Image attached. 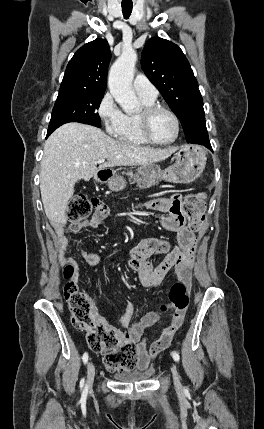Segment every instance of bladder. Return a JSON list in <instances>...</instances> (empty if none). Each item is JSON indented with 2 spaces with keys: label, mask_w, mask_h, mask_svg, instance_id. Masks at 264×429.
Instances as JSON below:
<instances>
[{
  "label": "bladder",
  "mask_w": 264,
  "mask_h": 429,
  "mask_svg": "<svg viewBox=\"0 0 264 429\" xmlns=\"http://www.w3.org/2000/svg\"><path fill=\"white\" fill-rule=\"evenodd\" d=\"M153 375V370H147L144 372H135L131 374H117L116 379L123 382H131V381H142L147 380Z\"/></svg>",
  "instance_id": "31cf9c89"
}]
</instances>
